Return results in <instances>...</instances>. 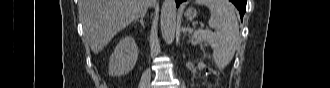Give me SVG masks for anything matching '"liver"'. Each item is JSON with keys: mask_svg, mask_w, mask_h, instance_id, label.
Wrapping results in <instances>:
<instances>
[{"mask_svg": "<svg viewBox=\"0 0 330 88\" xmlns=\"http://www.w3.org/2000/svg\"><path fill=\"white\" fill-rule=\"evenodd\" d=\"M154 0H80L84 37L97 54L133 20L145 15Z\"/></svg>", "mask_w": 330, "mask_h": 88, "instance_id": "6515ba94", "label": "liver"}]
</instances>
